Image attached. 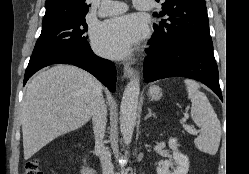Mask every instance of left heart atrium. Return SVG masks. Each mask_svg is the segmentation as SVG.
I'll use <instances>...</instances> for the list:
<instances>
[{
    "instance_id": "1",
    "label": "left heart atrium",
    "mask_w": 249,
    "mask_h": 174,
    "mask_svg": "<svg viewBox=\"0 0 249 174\" xmlns=\"http://www.w3.org/2000/svg\"><path fill=\"white\" fill-rule=\"evenodd\" d=\"M145 26L133 15L103 22L93 36V46L101 55L113 59L127 56L143 36Z\"/></svg>"
}]
</instances>
